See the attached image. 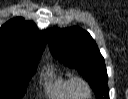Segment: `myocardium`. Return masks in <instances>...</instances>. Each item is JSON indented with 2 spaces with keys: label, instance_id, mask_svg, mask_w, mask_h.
Here are the masks:
<instances>
[{
  "label": "myocardium",
  "instance_id": "f54148a6",
  "mask_svg": "<svg viewBox=\"0 0 128 99\" xmlns=\"http://www.w3.org/2000/svg\"><path fill=\"white\" fill-rule=\"evenodd\" d=\"M84 86L87 90V94L86 95H80L78 93V86ZM71 88L72 91L74 92L75 96H77L78 98H88L91 95V87L90 84L81 76H73L71 78Z\"/></svg>",
  "mask_w": 128,
  "mask_h": 99
}]
</instances>
